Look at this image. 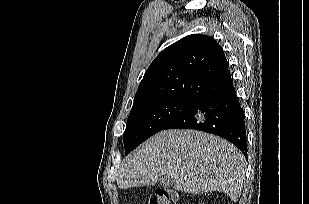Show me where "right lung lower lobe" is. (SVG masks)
Wrapping results in <instances>:
<instances>
[{
    "label": "right lung lower lobe",
    "mask_w": 309,
    "mask_h": 204,
    "mask_svg": "<svg viewBox=\"0 0 309 204\" xmlns=\"http://www.w3.org/2000/svg\"><path fill=\"white\" fill-rule=\"evenodd\" d=\"M165 129H196L212 133L233 143L246 156L244 111L233 84L199 100Z\"/></svg>",
    "instance_id": "obj_1"
}]
</instances>
